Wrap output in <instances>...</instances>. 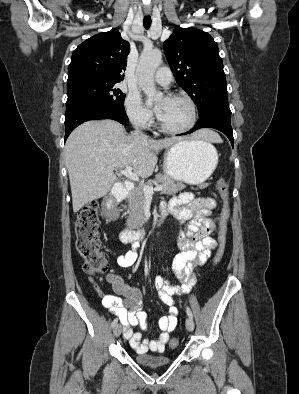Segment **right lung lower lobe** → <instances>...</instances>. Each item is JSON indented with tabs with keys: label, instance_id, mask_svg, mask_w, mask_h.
Instances as JSON below:
<instances>
[{
	"label": "right lung lower lobe",
	"instance_id": "obj_1",
	"mask_svg": "<svg viewBox=\"0 0 299 394\" xmlns=\"http://www.w3.org/2000/svg\"><path fill=\"white\" fill-rule=\"evenodd\" d=\"M100 119H113L122 124L128 122L125 111H116L103 103L96 101H75L66 103L65 140L81 123Z\"/></svg>",
	"mask_w": 299,
	"mask_h": 394
}]
</instances>
